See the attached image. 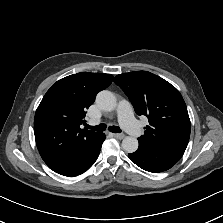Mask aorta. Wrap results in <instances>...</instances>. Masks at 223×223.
Returning <instances> with one entry per match:
<instances>
[{"mask_svg":"<svg viewBox=\"0 0 223 223\" xmlns=\"http://www.w3.org/2000/svg\"><path fill=\"white\" fill-rule=\"evenodd\" d=\"M96 105L102 111L112 112L116 108L117 100L112 92L104 90L97 95ZM138 146L139 142L137 138H134L132 136H126L122 140V148L128 153L135 152L138 149Z\"/></svg>","mask_w":223,"mask_h":223,"instance_id":"obj_1","label":"aorta"}]
</instances>
